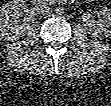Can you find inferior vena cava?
Segmentation results:
<instances>
[{"label": "inferior vena cava", "mask_w": 111, "mask_h": 106, "mask_svg": "<svg viewBox=\"0 0 111 106\" xmlns=\"http://www.w3.org/2000/svg\"><path fill=\"white\" fill-rule=\"evenodd\" d=\"M37 11L40 14H46V13H48L50 11V7L47 6L43 2H39V4L37 5Z\"/></svg>", "instance_id": "inferior-vena-cava-1"}]
</instances>
